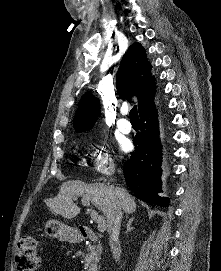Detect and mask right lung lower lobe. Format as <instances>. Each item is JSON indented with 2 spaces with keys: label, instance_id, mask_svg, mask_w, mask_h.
Here are the masks:
<instances>
[{
  "label": "right lung lower lobe",
  "instance_id": "right-lung-lower-lobe-1",
  "mask_svg": "<svg viewBox=\"0 0 221 271\" xmlns=\"http://www.w3.org/2000/svg\"><path fill=\"white\" fill-rule=\"evenodd\" d=\"M140 117L142 130L133 138L135 152L124 164L125 180L140 199L166 207L169 199L157 195L161 191L162 159L157 111L154 107Z\"/></svg>",
  "mask_w": 221,
  "mask_h": 271
}]
</instances>
